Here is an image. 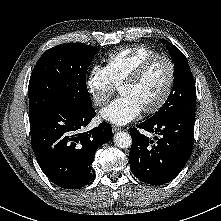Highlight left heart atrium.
Returning a JSON list of instances; mask_svg holds the SVG:
<instances>
[{"label":"left heart atrium","mask_w":221,"mask_h":221,"mask_svg":"<svg viewBox=\"0 0 221 221\" xmlns=\"http://www.w3.org/2000/svg\"><path fill=\"white\" fill-rule=\"evenodd\" d=\"M141 112L142 108L135 100L128 96H121L104 108L100 115L114 124L124 125L137 118Z\"/></svg>","instance_id":"39dd6f15"}]
</instances>
